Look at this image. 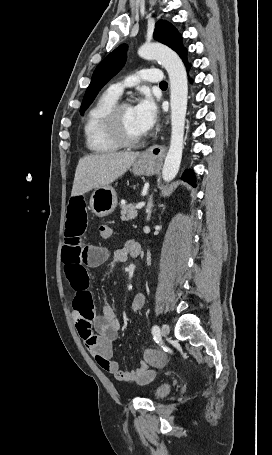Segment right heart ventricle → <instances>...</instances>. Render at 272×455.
I'll return each mask as SVG.
<instances>
[{
	"instance_id": "right-heart-ventricle-1",
	"label": "right heart ventricle",
	"mask_w": 272,
	"mask_h": 455,
	"mask_svg": "<svg viewBox=\"0 0 272 455\" xmlns=\"http://www.w3.org/2000/svg\"><path fill=\"white\" fill-rule=\"evenodd\" d=\"M119 96L111 90L102 93L89 109L84 122V137L86 147L96 154H108L119 150L107 135L105 116L109 109L118 102Z\"/></svg>"
}]
</instances>
